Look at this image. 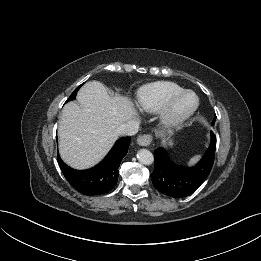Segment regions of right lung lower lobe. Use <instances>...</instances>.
Masks as SVG:
<instances>
[{
	"label": "right lung lower lobe",
	"instance_id": "obj_1",
	"mask_svg": "<svg viewBox=\"0 0 261 261\" xmlns=\"http://www.w3.org/2000/svg\"><path fill=\"white\" fill-rule=\"evenodd\" d=\"M129 137L119 139L106 158L88 170H75L57 155L58 163L67 181L85 195H100L114 188L119 176V164L128 152Z\"/></svg>",
	"mask_w": 261,
	"mask_h": 261
}]
</instances>
